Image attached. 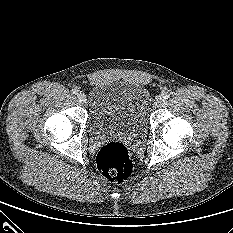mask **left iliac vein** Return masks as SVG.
<instances>
[{"label": "left iliac vein", "mask_w": 233, "mask_h": 233, "mask_svg": "<svg viewBox=\"0 0 233 233\" xmlns=\"http://www.w3.org/2000/svg\"><path fill=\"white\" fill-rule=\"evenodd\" d=\"M163 103H164V98H163V96L159 95V96H157V97L155 98L154 105H155L156 107L162 106Z\"/></svg>", "instance_id": "left-iliac-vein-1"}]
</instances>
